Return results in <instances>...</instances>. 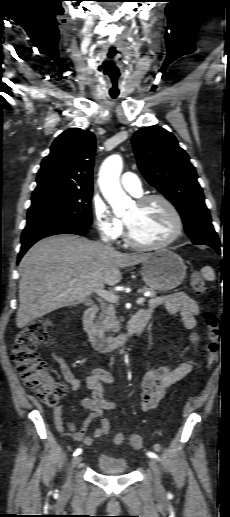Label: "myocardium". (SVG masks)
Masks as SVG:
<instances>
[{
	"instance_id": "myocardium-1",
	"label": "myocardium",
	"mask_w": 230,
	"mask_h": 517,
	"mask_svg": "<svg viewBox=\"0 0 230 517\" xmlns=\"http://www.w3.org/2000/svg\"><path fill=\"white\" fill-rule=\"evenodd\" d=\"M152 201H160L167 207V209L170 211V213L173 217V220H174V224H175L174 230H173L172 234L169 237H167L166 239H164L163 241L158 242V243L147 244V243L139 242L133 237L131 230L129 228V225L125 221V241L128 245H130L133 248L140 249V250L161 249V248L167 247L170 244H172L173 242H175L183 233V230H184L183 218H182L179 210L177 209V207L166 196H164L162 194L145 195V196H142L141 198L137 199L136 205L141 207Z\"/></svg>"
}]
</instances>
